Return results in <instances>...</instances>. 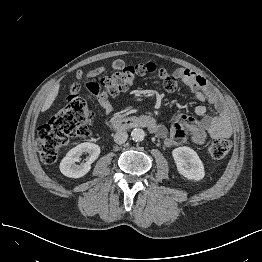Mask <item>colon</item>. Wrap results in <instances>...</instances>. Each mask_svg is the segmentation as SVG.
I'll list each match as a JSON object with an SVG mask.
<instances>
[{
  "mask_svg": "<svg viewBox=\"0 0 262 262\" xmlns=\"http://www.w3.org/2000/svg\"><path fill=\"white\" fill-rule=\"evenodd\" d=\"M156 71L158 67L152 62L133 65L119 62L112 74L98 80H84L83 73H77L76 78L69 84L70 94L65 105L38 128L36 146L41 160L48 165L54 164L71 138L91 136L89 122L92 112L80 97L83 87L96 96H110L122 91L137 78ZM230 149L228 140L218 138L207 144L206 153L214 159H220L226 156Z\"/></svg>",
  "mask_w": 262,
  "mask_h": 262,
  "instance_id": "5ec220e1",
  "label": "colon"
}]
</instances>
